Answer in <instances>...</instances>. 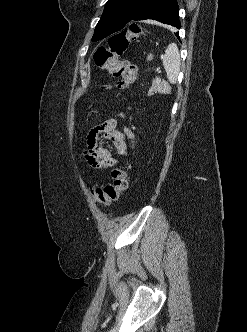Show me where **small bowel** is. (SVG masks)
<instances>
[{"label":"small bowel","mask_w":247,"mask_h":332,"mask_svg":"<svg viewBox=\"0 0 247 332\" xmlns=\"http://www.w3.org/2000/svg\"><path fill=\"white\" fill-rule=\"evenodd\" d=\"M105 139L114 144L120 153H127L134 145V133L125 128L119 131L117 121L109 118L105 122L91 128L86 137L87 155L86 159L92 167L111 166L115 160L111 157L109 150L101 144Z\"/></svg>","instance_id":"1"}]
</instances>
